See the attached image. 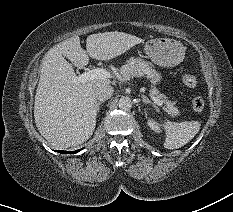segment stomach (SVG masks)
I'll return each instance as SVG.
<instances>
[{
    "instance_id": "1",
    "label": "stomach",
    "mask_w": 233,
    "mask_h": 212,
    "mask_svg": "<svg viewBox=\"0 0 233 212\" xmlns=\"http://www.w3.org/2000/svg\"><path fill=\"white\" fill-rule=\"evenodd\" d=\"M144 50L148 58L156 65L173 67L184 59L185 49L183 45L169 38H155L146 42ZM153 86L161 80V75L156 71L148 76Z\"/></svg>"
}]
</instances>
